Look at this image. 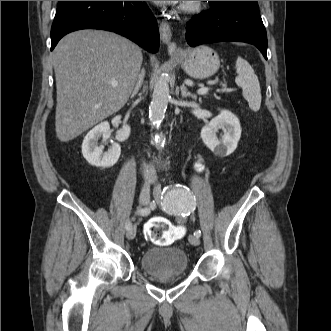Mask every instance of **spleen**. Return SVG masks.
<instances>
[{"label":"spleen","mask_w":331,"mask_h":331,"mask_svg":"<svg viewBox=\"0 0 331 331\" xmlns=\"http://www.w3.org/2000/svg\"><path fill=\"white\" fill-rule=\"evenodd\" d=\"M237 77L236 84L243 90V97L247 100L253 111H258L261 106V89L258 77L250 64L238 57L235 64Z\"/></svg>","instance_id":"spleen-1"}]
</instances>
